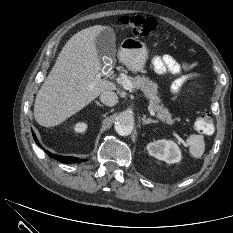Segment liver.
<instances>
[{"mask_svg":"<svg viewBox=\"0 0 233 233\" xmlns=\"http://www.w3.org/2000/svg\"><path fill=\"white\" fill-rule=\"evenodd\" d=\"M105 26L95 25L74 34L62 48L34 104L36 122L56 126L74 115L104 91L116 89L103 80L95 38Z\"/></svg>","mask_w":233,"mask_h":233,"instance_id":"obj_1","label":"liver"}]
</instances>
